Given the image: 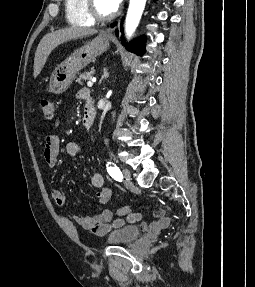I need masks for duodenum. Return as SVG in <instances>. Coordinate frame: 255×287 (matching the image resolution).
<instances>
[{
	"label": "duodenum",
	"mask_w": 255,
	"mask_h": 287,
	"mask_svg": "<svg viewBox=\"0 0 255 287\" xmlns=\"http://www.w3.org/2000/svg\"><path fill=\"white\" fill-rule=\"evenodd\" d=\"M81 98L85 101V110H84V116L82 119V125L84 129L87 130L89 129V127L91 126L94 120L95 107H94V103L88 91H82Z\"/></svg>",
	"instance_id": "obj_1"
}]
</instances>
